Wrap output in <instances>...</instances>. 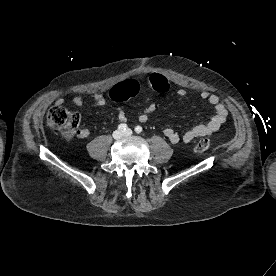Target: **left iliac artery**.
Here are the masks:
<instances>
[{
	"label": "left iliac artery",
	"instance_id": "1",
	"mask_svg": "<svg viewBox=\"0 0 276 276\" xmlns=\"http://www.w3.org/2000/svg\"><path fill=\"white\" fill-rule=\"evenodd\" d=\"M135 132L136 133H141L142 132V127L141 126H136L135 127Z\"/></svg>",
	"mask_w": 276,
	"mask_h": 276
}]
</instances>
